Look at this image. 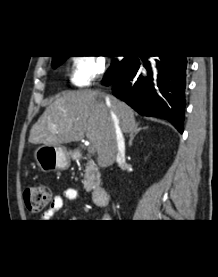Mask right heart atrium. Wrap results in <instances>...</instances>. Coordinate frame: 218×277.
Returning a JSON list of instances; mask_svg holds the SVG:
<instances>
[{
  "mask_svg": "<svg viewBox=\"0 0 218 277\" xmlns=\"http://www.w3.org/2000/svg\"><path fill=\"white\" fill-rule=\"evenodd\" d=\"M105 72V59L99 55H82L74 58L70 73L71 85L84 88L100 80Z\"/></svg>",
  "mask_w": 218,
  "mask_h": 277,
  "instance_id": "obj_1",
  "label": "right heart atrium"
}]
</instances>
